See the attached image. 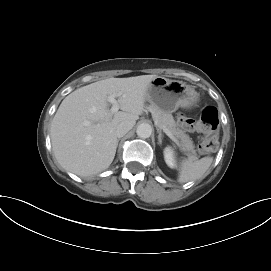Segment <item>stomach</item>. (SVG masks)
I'll list each match as a JSON object with an SVG mask.
<instances>
[{
    "label": "stomach",
    "mask_w": 271,
    "mask_h": 271,
    "mask_svg": "<svg viewBox=\"0 0 271 271\" xmlns=\"http://www.w3.org/2000/svg\"><path fill=\"white\" fill-rule=\"evenodd\" d=\"M199 99L200 94L190 85L160 76L150 82L146 91V100L167 113L180 107L191 108Z\"/></svg>",
    "instance_id": "obj_1"
}]
</instances>
